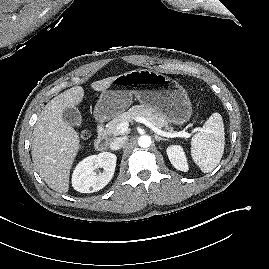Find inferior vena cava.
Masks as SVG:
<instances>
[{
    "label": "inferior vena cava",
    "mask_w": 269,
    "mask_h": 269,
    "mask_svg": "<svg viewBox=\"0 0 269 269\" xmlns=\"http://www.w3.org/2000/svg\"><path fill=\"white\" fill-rule=\"evenodd\" d=\"M124 142H125L124 137L116 138L110 143V149L119 150L123 146Z\"/></svg>",
    "instance_id": "1"
}]
</instances>
